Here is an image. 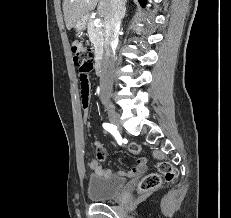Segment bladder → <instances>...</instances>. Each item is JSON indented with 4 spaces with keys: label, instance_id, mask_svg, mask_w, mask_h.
I'll use <instances>...</instances> for the list:
<instances>
[{
    "label": "bladder",
    "instance_id": "obj_1",
    "mask_svg": "<svg viewBox=\"0 0 231 218\" xmlns=\"http://www.w3.org/2000/svg\"><path fill=\"white\" fill-rule=\"evenodd\" d=\"M125 179L114 175H91L88 179L87 193L95 202L116 197L124 188Z\"/></svg>",
    "mask_w": 231,
    "mask_h": 218
}]
</instances>
